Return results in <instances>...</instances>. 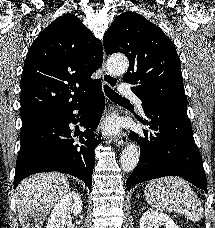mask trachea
<instances>
[{"instance_id":"1","label":"trachea","mask_w":215,"mask_h":228,"mask_svg":"<svg viewBox=\"0 0 215 228\" xmlns=\"http://www.w3.org/2000/svg\"><path fill=\"white\" fill-rule=\"evenodd\" d=\"M104 90H105V93L107 95V97L112 100V101H115L117 103H123V104H128L130 105V102L129 100H127L126 98L124 97H121V95H119L118 93L114 92L112 90V88H110L108 85H105L104 86Z\"/></svg>"}]
</instances>
